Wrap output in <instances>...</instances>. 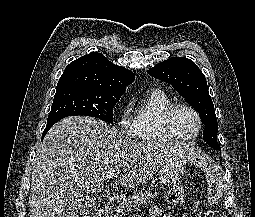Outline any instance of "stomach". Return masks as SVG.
Instances as JSON below:
<instances>
[{"label": "stomach", "instance_id": "0dacf381", "mask_svg": "<svg viewBox=\"0 0 255 217\" xmlns=\"http://www.w3.org/2000/svg\"><path fill=\"white\" fill-rule=\"evenodd\" d=\"M183 162L184 159L179 156H171L160 166L158 170L159 179L165 184H171L179 180L183 173Z\"/></svg>", "mask_w": 255, "mask_h": 217}]
</instances>
